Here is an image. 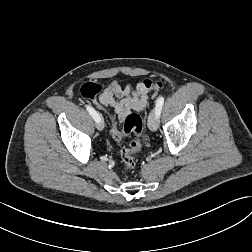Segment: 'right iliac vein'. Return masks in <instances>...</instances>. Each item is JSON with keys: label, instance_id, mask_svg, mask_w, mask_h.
I'll return each mask as SVG.
<instances>
[{"label": "right iliac vein", "instance_id": "1", "mask_svg": "<svg viewBox=\"0 0 252 252\" xmlns=\"http://www.w3.org/2000/svg\"><path fill=\"white\" fill-rule=\"evenodd\" d=\"M96 127H97L98 130H103L104 122H103L102 119L96 123Z\"/></svg>", "mask_w": 252, "mask_h": 252}]
</instances>
